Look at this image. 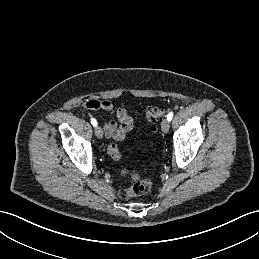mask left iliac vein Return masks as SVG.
Masks as SVG:
<instances>
[{"label": "left iliac vein", "mask_w": 259, "mask_h": 259, "mask_svg": "<svg viewBox=\"0 0 259 259\" xmlns=\"http://www.w3.org/2000/svg\"><path fill=\"white\" fill-rule=\"evenodd\" d=\"M161 129L164 133H167L170 129V121L168 119H164L161 123Z\"/></svg>", "instance_id": "4c4485c4"}]
</instances>
